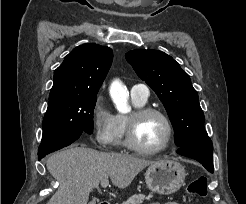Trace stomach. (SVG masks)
<instances>
[{
  "label": "stomach",
  "mask_w": 246,
  "mask_h": 204,
  "mask_svg": "<svg viewBox=\"0 0 246 204\" xmlns=\"http://www.w3.org/2000/svg\"><path fill=\"white\" fill-rule=\"evenodd\" d=\"M185 168L173 160H160L151 164L145 172L148 189L160 195L177 192L184 183Z\"/></svg>",
  "instance_id": "0dacf381"
}]
</instances>
